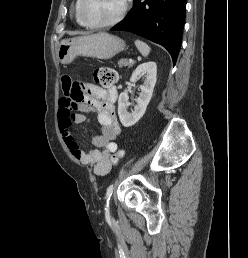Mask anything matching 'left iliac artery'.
<instances>
[{
    "label": "left iliac artery",
    "mask_w": 248,
    "mask_h": 258,
    "mask_svg": "<svg viewBox=\"0 0 248 258\" xmlns=\"http://www.w3.org/2000/svg\"><path fill=\"white\" fill-rule=\"evenodd\" d=\"M113 189H114V185H113V184L110 185V186L107 188V192H106V199H107L106 209H108V206H109L108 202H109L110 197H111V195H112V193H113Z\"/></svg>",
    "instance_id": "left-iliac-artery-1"
}]
</instances>
